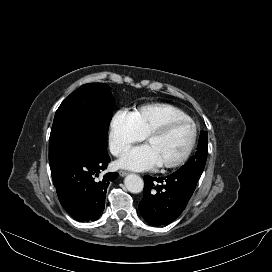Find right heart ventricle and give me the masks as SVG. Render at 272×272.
Wrapping results in <instances>:
<instances>
[{"label":"right heart ventricle","mask_w":272,"mask_h":272,"mask_svg":"<svg viewBox=\"0 0 272 272\" xmlns=\"http://www.w3.org/2000/svg\"><path fill=\"white\" fill-rule=\"evenodd\" d=\"M135 124L142 135L168 120L189 118L180 108L167 103H153L141 106L133 112Z\"/></svg>","instance_id":"obj_1"}]
</instances>
